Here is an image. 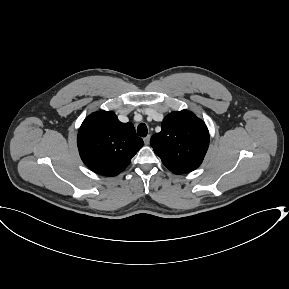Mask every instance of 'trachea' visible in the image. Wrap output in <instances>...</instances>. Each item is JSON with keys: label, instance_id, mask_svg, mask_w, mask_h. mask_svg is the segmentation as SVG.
Listing matches in <instances>:
<instances>
[{"label": "trachea", "instance_id": "trachea-1", "mask_svg": "<svg viewBox=\"0 0 289 289\" xmlns=\"http://www.w3.org/2000/svg\"><path fill=\"white\" fill-rule=\"evenodd\" d=\"M148 133L147 126L144 123H141L137 127V134L140 137H146Z\"/></svg>", "mask_w": 289, "mask_h": 289}]
</instances>
